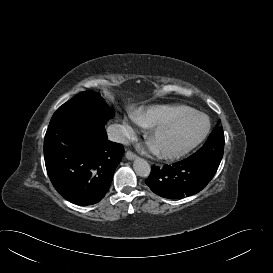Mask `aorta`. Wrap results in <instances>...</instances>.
<instances>
[{"label": "aorta", "mask_w": 273, "mask_h": 273, "mask_svg": "<svg viewBox=\"0 0 273 273\" xmlns=\"http://www.w3.org/2000/svg\"><path fill=\"white\" fill-rule=\"evenodd\" d=\"M133 168L135 173L140 177H148L151 172L149 163L145 159L139 157L134 160Z\"/></svg>", "instance_id": "aorta-1"}]
</instances>
